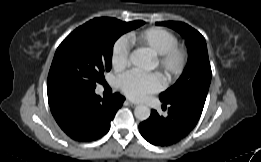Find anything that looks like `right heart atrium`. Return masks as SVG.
I'll use <instances>...</instances> for the list:
<instances>
[{
  "label": "right heart atrium",
  "mask_w": 261,
  "mask_h": 162,
  "mask_svg": "<svg viewBox=\"0 0 261 162\" xmlns=\"http://www.w3.org/2000/svg\"><path fill=\"white\" fill-rule=\"evenodd\" d=\"M111 63L113 68L120 72L129 64L128 46L124 39L119 40L113 47L111 55Z\"/></svg>",
  "instance_id": "1"
}]
</instances>
